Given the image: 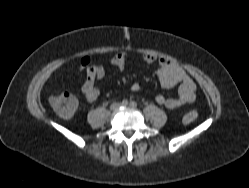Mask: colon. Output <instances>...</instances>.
I'll list each match as a JSON object with an SVG mask.
<instances>
[{
	"label": "colon",
	"instance_id": "5ec220e1",
	"mask_svg": "<svg viewBox=\"0 0 249 188\" xmlns=\"http://www.w3.org/2000/svg\"><path fill=\"white\" fill-rule=\"evenodd\" d=\"M50 104L54 111L62 118L72 117L78 106L76 98L68 91H60L51 95ZM197 117L198 113L196 111H188L183 116V122L185 124L193 123Z\"/></svg>",
	"mask_w": 249,
	"mask_h": 188
}]
</instances>
